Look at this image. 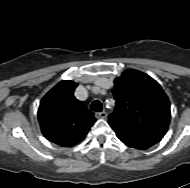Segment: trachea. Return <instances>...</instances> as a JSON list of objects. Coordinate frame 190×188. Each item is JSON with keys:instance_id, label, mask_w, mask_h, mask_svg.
Instances as JSON below:
<instances>
[{"instance_id": "trachea-1", "label": "trachea", "mask_w": 190, "mask_h": 188, "mask_svg": "<svg viewBox=\"0 0 190 188\" xmlns=\"http://www.w3.org/2000/svg\"><path fill=\"white\" fill-rule=\"evenodd\" d=\"M90 109L92 111H96V112H101L102 111V104L100 101L98 100H95L92 102L91 106H90Z\"/></svg>"}]
</instances>
